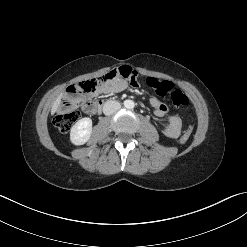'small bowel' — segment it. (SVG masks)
<instances>
[{"instance_id": "small-bowel-1", "label": "small bowel", "mask_w": 247, "mask_h": 247, "mask_svg": "<svg viewBox=\"0 0 247 247\" xmlns=\"http://www.w3.org/2000/svg\"><path fill=\"white\" fill-rule=\"evenodd\" d=\"M131 72H134L129 67H124ZM135 73V72H134ZM128 80L129 78L118 76L113 80L106 82L102 87H100L96 93H118L125 90L128 87ZM131 81V80H130ZM132 85L135 86L131 82ZM150 104L154 108V112L158 117H163L168 113V107L158 100L155 97L150 98ZM83 110L88 113L92 114L96 111V105L92 101H85L82 105ZM182 128V119L178 114H171L166 123L163 126V133L165 136L169 138H177L180 135Z\"/></svg>"}]
</instances>
